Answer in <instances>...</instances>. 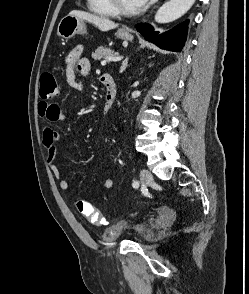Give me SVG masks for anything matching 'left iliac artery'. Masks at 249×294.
Here are the masks:
<instances>
[{
    "instance_id": "obj_1",
    "label": "left iliac artery",
    "mask_w": 249,
    "mask_h": 294,
    "mask_svg": "<svg viewBox=\"0 0 249 294\" xmlns=\"http://www.w3.org/2000/svg\"><path fill=\"white\" fill-rule=\"evenodd\" d=\"M132 186H133L134 188H137V187L139 186V182H138V181H133Z\"/></svg>"
}]
</instances>
